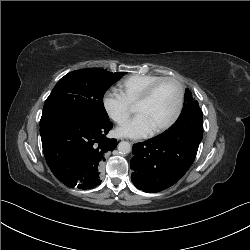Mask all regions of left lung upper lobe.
<instances>
[{"label":"left lung upper lobe","mask_w":250,"mask_h":250,"mask_svg":"<svg viewBox=\"0 0 250 250\" xmlns=\"http://www.w3.org/2000/svg\"><path fill=\"white\" fill-rule=\"evenodd\" d=\"M185 114H191L192 117H195L196 115H201V117L203 118V114L198 105V102L192 98L191 91L189 89H186L185 102L182 113L179 117L184 116Z\"/></svg>","instance_id":"5c2ea615"}]
</instances>
